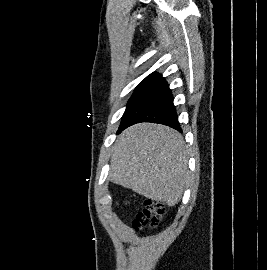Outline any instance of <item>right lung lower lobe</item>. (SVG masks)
<instances>
[{
	"mask_svg": "<svg viewBox=\"0 0 267 270\" xmlns=\"http://www.w3.org/2000/svg\"><path fill=\"white\" fill-rule=\"evenodd\" d=\"M140 122L159 123L182 132L173 104V95L162 75L154 78L146 92L128 111L117 133Z\"/></svg>",
	"mask_w": 267,
	"mask_h": 270,
	"instance_id": "right-lung-lower-lobe-1",
	"label": "right lung lower lobe"
}]
</instances>
